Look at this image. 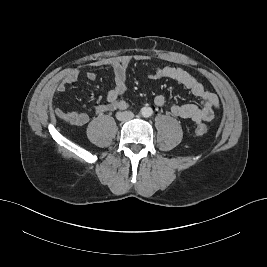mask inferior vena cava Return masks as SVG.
I'll list each match as a JSON object with an SVG mask.
<instances>
[{
    "instance_id": "602c4592",
    "label": "inferior vena cava",
    "mask_w": 267,
    "mask_h": 267,
    "mask_svg": "<svg viewBox=\"0 0 267 267\" xmlns=\"http://www.w3.org/2000/svg\"><path fill=\"white\" fill-rule=\"evenodd\" d=\"M133 117H134V114L131 111H123V112L116 113V118L123 122L129 121Z\"/></svg>"
}]
</instances>
